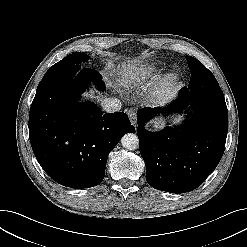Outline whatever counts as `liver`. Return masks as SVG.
Here are the masks:
<instances>
[{"mask_svg":"<svg viewBox=\"0 0 247 247\" xmlns=\"http://www.w3.org/2000/svg\"><path fill=\"white\" fill-rule=\"evenodd\" d=\"M134 62H136V61L134 60ZM123 67H124L123 73H124V76L126 77V76H128V74H130V65H127V67H126V65H124ZM135 68H136L135 67V64L132 63L131 64V69L134 70ZM87 96L90 97V98L94 97L92 93L91 94H88ZM162 103H164V101L161 102V104Z\"/></svg>","mask_w":247,"mask_h":247,"instance_id":"1","label":"liver"}]
</instances>
